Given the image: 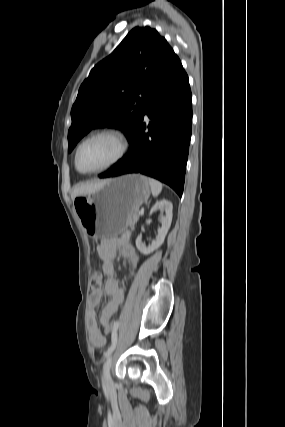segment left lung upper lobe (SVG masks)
I'll return each instance as SVG.
<instances>
[{
	"mask_svg": "<svg viewBox=\"0 0 285 427\" xmlns=\"http://www.w3.org/2000/svg\"><path fill=\"white\" fill-rule=\"evenodd\" d=\"M173 49L148 26L135 27L91 70L71 110L68 152L90 130L114 127L131 137L148 92Z\"/></svg>",
	"mask_w": 285,
	"mask_h": 427,
	"instance_id": "obj_1",
	"label": "left lung upper lobe"
}]
</instances>
